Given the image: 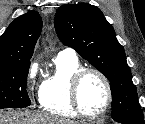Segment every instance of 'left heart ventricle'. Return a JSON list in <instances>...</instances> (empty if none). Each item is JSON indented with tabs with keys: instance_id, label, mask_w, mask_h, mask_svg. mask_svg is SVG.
<instances>
[{
	"instance_id": "1",
	"label": "left heart ventricle",
	"mask_w": 145,
	"mask_h": 124,
	"mask_svg": "<svg viewBox=\"0 0 145 124\" xmlns=\"http://www.w3.org/2000/svg\"><path fill=\"white\" fill-rule=\"evenodd\" d=\"M82 108L87 113L101 111L107 100V93L102 81L94 74L85 77L80 88Z\"/></svg>"
}]
</instances>
